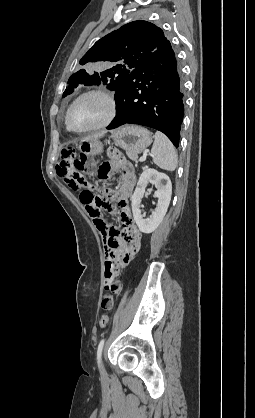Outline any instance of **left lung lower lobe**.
I'll return each mask as SVG.
<instances>
[{"instance_id":"obj_1","label":"left lung lower lobe","mask_w":255,"mask_h":418,"mask_svg":"<svg viewBox=\"0 0 255 418\" xmlns=\"http://www.w3.org/2000/svg\"><path fill=\"white\" fill-rule=\"evenodd\" d=\"M115 100L116 117L107 129L139 124L163 132L174 146L179 145L183 84L170 42L130 72Z\"/></svg>"}]
</instances>
